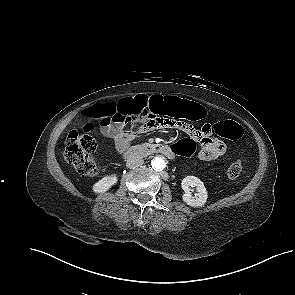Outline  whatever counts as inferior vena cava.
Instances as JSON below:
<instances>
[{"mask_svg":"<svg viewBox=\"0 0 295 295\" xmlns=\"http://www.w3.org/2000/svg\"><path fill=\"white\" fill-rule=\"evenodd\" d=\"M144 163L143 159L140 158V157H130L127 162H126V166L129 168V169H135L137 167H140L142 166Z\"/></svg>","mask_w":295,"mask_h":295,"instance_id":"inferior-vena-cava-1","label":"inferior vena cava"}]
</instances>
